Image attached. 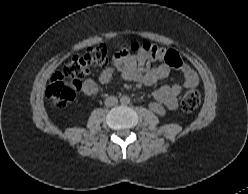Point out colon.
I'll list each match as a JSON object with an SVG mask.
<instances>
[{
    "label": "colon",
    "instance_id": "obj_1",
    "mask_svg": "<svg viewBox=\"0 0 248 194\" xmlns=\"http://www.w3.org/2000/svg\"><path fill=\"white\" fill-rule=\"evenodd\" d=\"M153 48V45L149 43H133L130 46L132 53L149 52ZM163 58L172 67H177L179 64V55L172 50H165ZM107 62L108 52L103 44L89 48L84 53L72 57L61 71L51 77L46 89L47 97L57 108L65 107L78 94L81 80L92 71L105 66ZM200 102V92L191 88L184 93L181 99V108L185 112H192L199 106Z\"/></svg>",
    "mask_w": 248,
    "mask_h": 194
}]
</instances>
